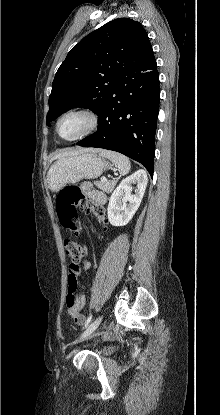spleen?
<instances>
[{
	"label": "spleen",
	"instance_id": "3e777b00",
	"mask_svg": "<svg viewBox=\"0 0 220 415\" xmlns=\"http://www.w3.org/2000/svg\"><path fill=\"white\" fill-rule=\"evenodd\" d=\"M100 155L109 159L113 164H115L118 167L121 175H127L129 173L131 164L126 156L118 152L108 150H100Z\"/></svg>",
	"mask_w": 220,
	"mask_h": 415
}]
</instances>
